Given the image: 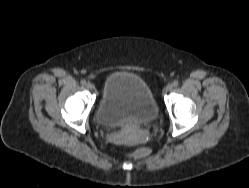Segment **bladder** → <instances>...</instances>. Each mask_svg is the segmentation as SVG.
<instances>
[{
	"label": "bladder",
	"mask_w": 249,
	"mask_h": 188,
	"mask_svg": "<svg viewBox=\"0 0 249 188\" xmlns=\"http://www.w3.org/2000/svg\"><path fill=\"white\" fill-rule=\"evenodd\" d=\"M105 127H122L132 123L151 124L159 109L149 84L141 77L124 71L113 72L104 81L96 112Z\"/></svg>",
	"instance_id": "31cf9c89"
}]
</instances>
